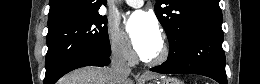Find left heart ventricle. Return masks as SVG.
Here are the masks:
<instances>
[{"mask_svg":"<svg viewBox=\"0 0 260 84\" xmlns=\"http://www.w3.org/2000/svg\"><path fill=\"white\" fill-rule=\"evenodd\" d=\"M159 49H160V47H159ZM159 49H158V51H159ZM158 51L152 57H154L158 53Z\"/></svg>","mask_w":260,"mask_h":84,"instance_id":"obj_1","label":"left heart ventricle"}]
</instances>
